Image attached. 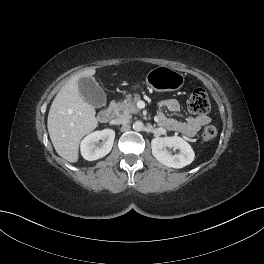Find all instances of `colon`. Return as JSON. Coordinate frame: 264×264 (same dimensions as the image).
<instances>
[{"label":"colon","instance_id":"5ec220e1","mask_svg":"<svg viewBox=\"0 0 264 264\" xmlns=\"http://www.w3.org/2000/svg\"><path fill=\"white\" fill-rule=\"evenodd\" d=\"M188 109L190 112L199 115H205L210 110L208 95L204 89H195L188 100ZM217 136V129L213 125H207L201 132V138L206 141H212Z\"/></svg>","mask_w":264,"mask_h":264}]
</instances>
